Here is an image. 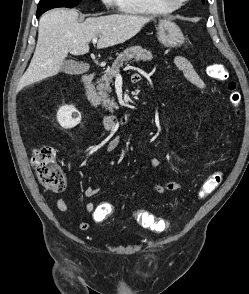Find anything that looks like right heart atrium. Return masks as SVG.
Segmentation results:
<instances>
[{
  "instance_id": "1",
  "label": "right heart atrium",
  "mask_w": 249,
  "mask_h": 294,
  "mask_svg": "<svg viewBox=\"0 0 249 294\" xmlns=\"http://www.w3.org/2000/svg\"><path fill=\"white\" fill-rule=\"evenodd\" d=\"M102 1L108 7H111L112 5L115 4V0H102Z\"/></svg>"
}]
</instances>
